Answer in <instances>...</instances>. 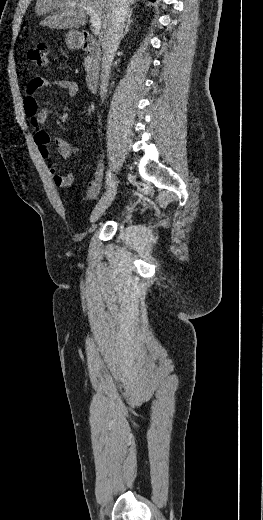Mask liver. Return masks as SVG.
Instances as JSON below:
<instances>
[{
	"mask_svg": "<svg viewBox=\"0 0 263 520\" xmlns=\"http://www.w3.org/2000/svg\"><path fill=\"white\" fill-rule=\"evenodd\" d=\"M136 1L130 0V4ZM70 3L76 5L70 7ZM84 6L91 7L101 19L99 39L103 41L111 20L113 0H37L35 13L38 16L45 15L40 22L42 26L51 29H78L87 22Z\"/></svg>",
	"mask_w": 263,
	"mask_h": 520,
	"instance_id": "1",
	"label": "liver"
}]
</instances>
